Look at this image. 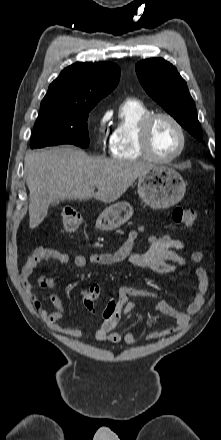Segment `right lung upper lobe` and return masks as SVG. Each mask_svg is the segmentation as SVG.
Listing matches in <instances>:
<instances>
[{
	"label": "right lung upper lobe",
	"instance_id": "obj_1",
	"mask_svg": "<svg viewBox=\"0 0 221 440\" xmlns=\"http://www.w3.org/2000/svg\"><path fill=\"white\" fill-rule=\"evenodd\" d=\"M120 68L111 62L75 63L54 80L42 102L96 105L117 86Z\"/></svg>",
	"mask_w": 221,
	"mask_h": 440
}]
</instances>
